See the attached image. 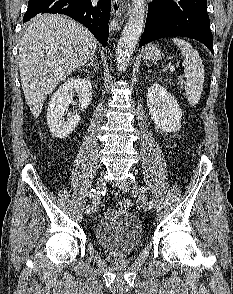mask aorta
<instances>
[{
	"label": "aorta",
	"mask_w": 233,
	"mask_h": 294,
	"mask_svg": "<svg viewBox=\"0 0 233 294\" xmlns=\"http://www.w3.org/2000/svg\"><path fill=\"white\" fill-rule=\"evenodd\" d=\"M146 1L132 0L131 11L116 49V65L124 70L141 37L145 24Z\"/></svg>",
	"instance_id": "762f6f07"
}]
</instances>
